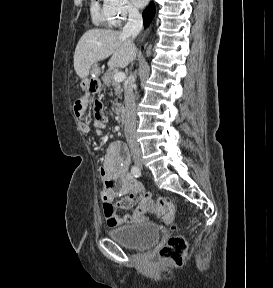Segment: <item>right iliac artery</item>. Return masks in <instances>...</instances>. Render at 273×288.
<instances>
[{"label": "right iliac artery", "mask_w": 273, "mask_h": 288, "mask_svg": "<svg viewBox=\"0 0 273 288\" xmlns=\"http://www.w3.org/2000/svg\"><path fill=\"white\" fill-rule=\"evenodd\" d=\"M131 173L133 174V176L135 177H140L141 176V170L139 167L137 166H132L131 168Z\"/></svg>", "instance_id": "obj_1"}]
</instances>
